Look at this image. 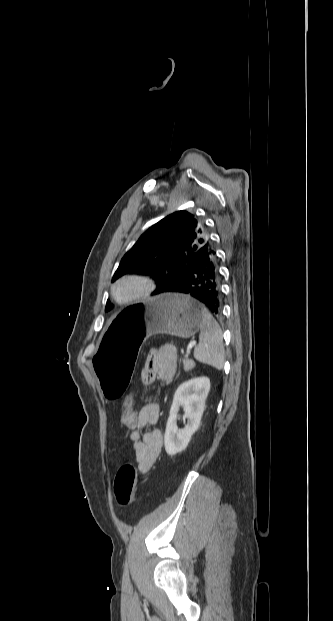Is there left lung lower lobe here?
Segmentation results:
<instances>
[{"label": "left lung lower lobe", "mask_w": 333, "mask_h": 621, "mask_svg": "<svg viewBox=\"0 0 333 621\" xmlns=\"http://www.w3.org/2000/svg\"><path fill=\"white\" fill-rule=\"evenodd\" d=\"M219 284L216 252L211 244H205L190 258L184 271L161 293L188 294L219 316L221 313Z\"/></svg>", "instance_id": "obj_1"}]
</instances>
